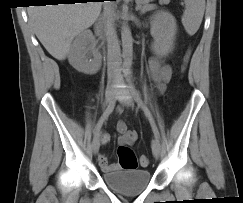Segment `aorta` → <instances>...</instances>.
<instances>
[{
  "label": "aorta",
  "instance_id": "1",
  "mask_svg": "<svg viewBox=\"0 0 243 203\" xmlns=\"http://www.w3.org/2000/svg\"><path fill=\"white\" fill-rule=\"evenodd\" d=\"M121 39L123 48V58L126 67H129L132 62L133 54V38L130 27L127 22H123L121 26Z\"/></svg>",
  "mask_w": 243,
  "mask_h": 203
}]
</instances>
